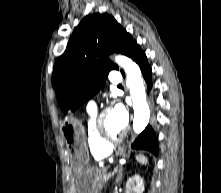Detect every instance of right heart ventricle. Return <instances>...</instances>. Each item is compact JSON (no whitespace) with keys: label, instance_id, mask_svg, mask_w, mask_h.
<instances>
[{"label":"right heart ventricle","instance_id":"1","mask_svg":"<svg viewBox=\"0 0 221 193\" xmlns=\"http://www.w3.org/2000/svg\"><path fill=\"white\" fill-rule=\"evenodd\" d=\"M96 116V110L89 111V116L86 122L87 143L90 149V153L94 158H104L111 153L112 148L104 145L96 136V133L94 131Z\"/></svg>","mask_w":221,"mask_h":193}]
</instances>
